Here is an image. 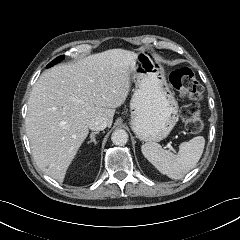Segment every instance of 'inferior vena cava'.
<instances>
[{
    "label": "inferior vena cava",
    "mask_w": 240,
    "mask_h": 240,
    "mask_svg": "<svg viewBox=\"0 0 240 240\" xmlns=\"http://www.w3.org/2000/svg\"><path fill=\"white\" fill-rule=\"evenodd\" d=\"M107 127V123L105 119L101 116L93 118L89 122V129L92 131H101L104 130Z\"/></svg>",
    "instance_id": "602c4592"
}]
</instances>
